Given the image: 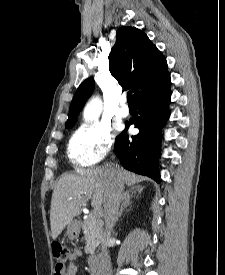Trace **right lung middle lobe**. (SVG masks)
<instances>
[{"label":"right lung middle lobe","instance_id":"1","mask_svg":"<svg viewBox=\"0 0 225 275\" xmlns=\"http://www.w3.org/2000/svg\"><path fill=\"white\" fill-rule=\"evenodd\" d=\"M73 125H69V126H66L67 128H70V127H72Z\"/></svg>","mask_w":225,"mask_h":275}]
</instances>
